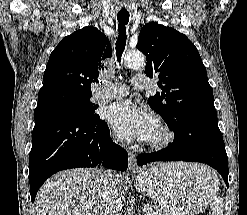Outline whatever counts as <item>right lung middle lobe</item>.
I'll return each mask as SVG.
<instances>
[{
	"instance_id": "obj_1",
	"label": "right lung middle lobe",
	"mask_w": 247,
	"mask_h": 215,
	"mask_svg": "<svg viewBox=\"0 0 247 215\" xmlns=\"http://www.w3.org/2000/svg\"><path fill=\"white\" fill-rule=\"evenodd\" d=\"M91 96L66 88H49L40 90L38 102L53 104L83 118L97 119L99 115L94 112L96 106L90 102Z\"/></svg>"
}]
</instances>
